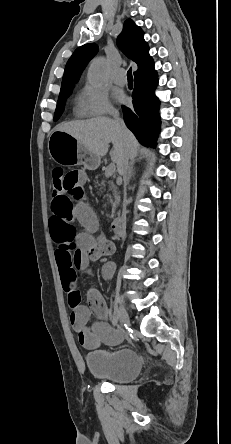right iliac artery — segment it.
<instances>
[{"label": "right iliac artery", "mask_w": 231, "mask_h": 444, "mask_svg": "<svg viewBox=\"0 0 231 444\" xmlns=\"http://www.w3.org/2000/svg\"><path fill=\"white\" fill-rule=\"evenodd\" d=\"M118 319H119V315L118 312H115L112 318V324L113 326H117L118 325Z\"/></svg>", "instance_id": "82829eb1"}]
</instances>
